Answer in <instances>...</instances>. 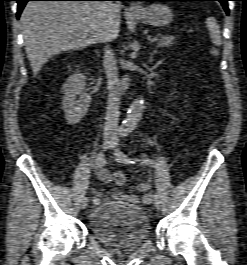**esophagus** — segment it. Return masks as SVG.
<instances>
[{
	"instance_id": "esophagus-1",
	"label": "esophagus",
	"mask_w": 247,
	"mask_h": 265,
	"mask_svg": "<svg viewBox=\"0 0 247 265\" xmlns=\"http://www.w3.org/2000/svg\"><path fill=\"white\" fill-rule=\"evenodd\" d=\"M131 11H138L140 9V5L137 3H132L129 8Z\"/></svg>"
}]
</instances>
